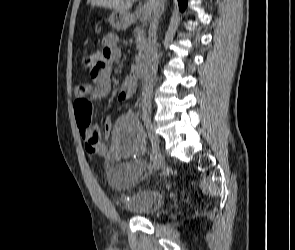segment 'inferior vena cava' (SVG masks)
Here are the masks:
<instances>
[{"mask_svg":"<svg viewBox=\"0 0 295 250\" xmlns=\"http://www.w3.org/2000/svg\"><path fill=\"white\" fill-rule=\"evenodd\" d=\"M165 0H154L153 17L150 23L147 42V61L149 71L147 72L142 89L141 107L143 116H149L151 113V95L158 68V50H157V27L159 19L164 11Z\"/></svg>","mask_w":295,"mask_h":250,"instance_id":"602c4592","label":"inferior vena cava"}]
</instances>
